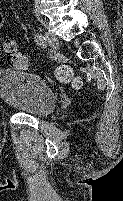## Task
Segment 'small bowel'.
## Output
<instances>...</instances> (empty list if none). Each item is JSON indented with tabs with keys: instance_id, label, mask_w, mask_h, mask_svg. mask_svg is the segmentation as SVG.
Returning <instances> with one entry per match:
<instances>
[{
	"instance_id": "obj_1",
	"label": "small bowel",
	"mask_w": 123,
	"mask_h": 201,
	"mask_svg": "<svg viewBox=\"0 0 123 201\" xmlns=\"http://www.w3.org/2000/svg\"><path fill=\"white\" fill-rule=\"evenodd\" d=\"M4 23H5V16L2 12H0V27H2Z\"/></svg>"
}]
</instances>
